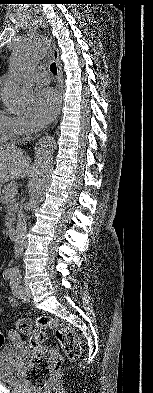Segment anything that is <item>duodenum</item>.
<instances>
[{
    "mask_svg": "<svg viewBox=\"0 0 153 393\" xmlns=\"http://www.w3.org/2000/svg\"><path fill=\"white\" fill-rule=\"evenodd\" d=\"M8 234H9V237H10V238H12V239L16 238V235H17V228H16L15 225H12V226H10V227L8 228Z\"/></svg>",
    "mask_w": 153,
    "mask_h": 393,
    "instance_id": "410a0bca",
    "label": "duodenum"
}]
</instances>
